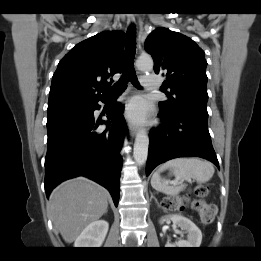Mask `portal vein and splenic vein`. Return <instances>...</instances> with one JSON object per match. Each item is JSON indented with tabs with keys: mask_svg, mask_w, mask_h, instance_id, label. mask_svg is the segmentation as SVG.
<instances>
[{
	"mask_svg": "<svg viewBox=\"0 0 261 261\" xmlns=\"http://www.w3.org/2000/svg\"><path fill=\"white\" fill-rule=\"evenodd\" d=\"M173 183H174V184H177V183L180 184V183H182V182H178V181L176 180V181H174Z\"/></svg>",
	"mask_w": 261,
	"mask_h": 261,
	"instance_id": "1",
	"label": "portal vein and splenic vein"
}]
</instances>
